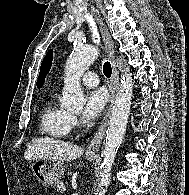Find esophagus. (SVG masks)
Here are the masks:
<instances>
[{
	"instance_id": "obj_1",
	"label": "esophagus",
	"mask_w": 189,
	"mask_h": 195,
	"mask_svg": "<svg viewBox=\"0 0 189 195\" xmlns=\"http://www.w3.org/2000/svg\"><path fill=\"white\" fill-rule=\"evenodd\" d=\"M92 12L95 15V18L98 22L99 29L105 44V49L112 64V78H111L112 99L97 132L94 134L93 139L91 140L90 144L87 147V154H95L99 150V147L101 145V142L103 140L108 125L112 103L116 94V90L119 86V74L117 70V64L115 61L114 42L98 10L95 9V7H92Z\"/></svg>"
}]
</instances>
